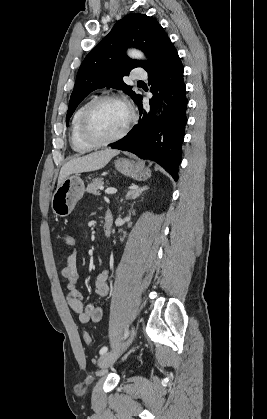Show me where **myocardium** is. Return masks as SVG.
Returning <instances> with one entry per match:
<instances>
[{
	"label": "myocardium",
	"mask_w": 267,
	"mask_h": 419,
	"mask_svg": "<svg viewBox=\"0 0 267 419\" xmlns=\"http://www.w3.org/2000/svg\"><path fill=\"white\" fill-rule=\"evenodd\" d=\"M107 101H115V102H120L124 104L128 110L129 117L125 126L122 128V130L118 134L107 139H98L89 132L88 119H89L91 111L98 104L107 102ZM135 120H136V114H135L134 108L132 107V105L126 98L120 95H116V94L101 95L89 101L84 107L80 116V120H79V135L85 143L93 147L105 146V145L114 143L122 139L129 132Z\"/></svg>",
	"instance_id": "myocardium-1"
}]
</instances>
